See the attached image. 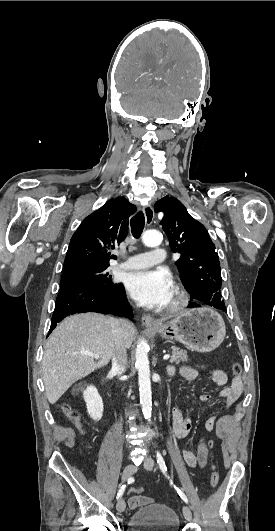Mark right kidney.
<instances>
[{"mask_svg": "<svg viewBox=\"0 0 275 531\" xmlns=\"http://www.w3.org/2000/svg\"><path fill=\"white\" fill-rule=\"evenodd\" d=\"M73 395L83 393L84 401L87 407V413L93 421H100L103 417V401L100 397L96 387L93 385H86V383H78L72 389Z\"/></svg>", "mask_w": 275, "mask_h": 531, "instance_id": "obj_1", "label": "right kidney"}]
</instances>
